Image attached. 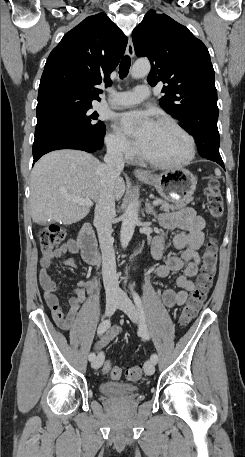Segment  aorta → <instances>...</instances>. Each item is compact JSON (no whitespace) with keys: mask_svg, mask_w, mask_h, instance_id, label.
<instances>
[{"mask_svg":"<svg viewBox=\"0 0 245 457\" xmlns=\"http://www.w3.org/2000/svg\"><path fill=\"white\" fill-rule=\"evenodd\" d=\"M150 62L147 59L137 60L131 69V76L133 78H142L150 72ZM138 201L132 200L122 220V226L120 231V241L123 248L127 247L135 230L136 223L138 221Z\"/></svg>","mask_w":245,"mask_h":457,"instance_id":"762f6f07","label":"aorta"}]
</instances>
